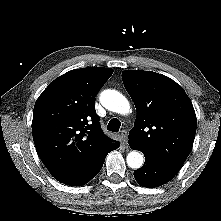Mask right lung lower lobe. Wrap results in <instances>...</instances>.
Returning a JSON list of instances; mask_svg holds the SVG:
<instances>
[{
	"label": "right lung lower lobe",
	"instance_id": "98d812e1",
	"mask_svg": "<svg viewBox=\"0 0 221 221\" xmlns=\"http://www.w3.org/2000/svg\"><path fill=\"white\" fill-rule=\"evenodd\" d=\"M118 146H119V143L117 142L114 146L110 147L109 149L101 153L97 158H95L89 165H87L76 176L64 182V184L70 185V186H80V185L86 184L95 175H97L98 172L101 170L107 154L111 152L112 150L118 148Z\"/></svg>",
	"mask_w": 221,
	"mask_h": 221
}]
</instances>
